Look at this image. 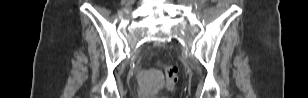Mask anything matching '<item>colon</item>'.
Segmentation results:
<instances>
[{
  "label": "colon",
  "instance_id": "5ec220e1",
  "mask_svg": "<svg viewBox=\"0 0 308 98\" xmlns=\"http://www.w3.org/2000/svg\"><path fill=\"white\" fill-rule=\"evenodd\" d=\"M178 67L175 65H169L165 67L166 76V88L168 90H174L178 81Z\"/></svg>",
  "mask_w": 308,
  "mask_h": 98
}]
</instances>
